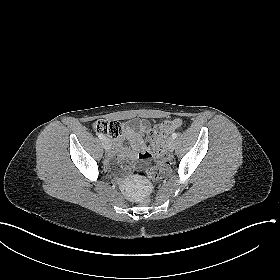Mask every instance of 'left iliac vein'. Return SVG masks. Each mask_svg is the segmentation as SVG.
Here are the masks:
<instances>
[{"instance_id":"left-iliac-vein-1","label":"left iliac vein","mask_w":280,"mask_h":280,"mask_svg":"<svg viewBox=\"0 0 280 280\" xmlns=\"http://www.w3.org/2000/svg\"><path fill=\"white\" fill-rule=\"evenodd\" d=\"M167 147H168V150L170 152H172L174 149H175V141L173 138H170L167 142Z\"/></svg>"}]
</instances>
